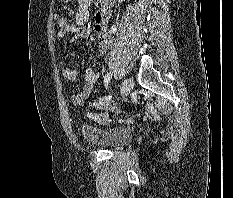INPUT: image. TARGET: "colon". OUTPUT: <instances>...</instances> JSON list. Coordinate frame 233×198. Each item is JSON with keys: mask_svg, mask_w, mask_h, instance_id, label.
<instances>
[{"mask_svg": "<svg viewBox=\"0 0 233 198\" xmlns=\"http://www.w3.org/2000/svg\"><path fill=\"white\" fill-rule=\"evenodd\" d=\"M54 25H55V29L57 34L62 33L65 25H66V20L63 17V15H61L60 13H56L54 15ZM91 107L96 110V111H112L116 109L115 104L112 102V100L107 97V96H103V97H99L97 99H95L92 104Z\"/></svg>", "mask_w": 233, "mask_h": 198, "instance_id": "1", "label": "colon"}]
</instances>
